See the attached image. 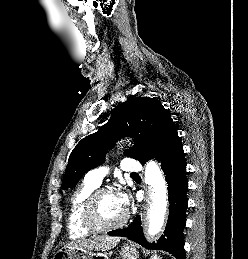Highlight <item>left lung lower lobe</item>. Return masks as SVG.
<instances>
[{
  "label": "left lung lower lobe",
  "mask_w": 248,
  "mask_h": 259,
  "mask_svg": "<svg viewBox=\"0 0 248 259\" xmlns=\"http://www.w3.org/2000/svg\"><path fill=\"white\" fill-rule=\"evenodd\" d=\"M156 160L162 164L161 167L166 175L169 192V217L164 235L153 245L144 241L140 226V216L136 217L128 228L111 231L108 234L127 237L147 249L164 250L174 255L177 259H186L183 229L186 225L185 213L188 205L186 199L188 181L181 141L178 140L168 149L161 151L156 156Z\"/></svg>",
  "instance_id": "0a47b994"
}]
</instances>
